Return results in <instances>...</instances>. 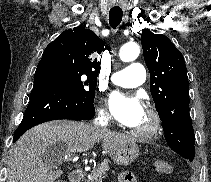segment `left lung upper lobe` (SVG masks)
Returning a JSON list of instances; mask_svg holds the SVG:
<instances>
[{
	"mask_svg": "<svg viewBox=\"0 0 211 182\" xmlns=\"http://www.w3.org/2000/svg\"><path fill=\"white\" fill-rule=\"evenodd\" d=\"M141 44L150 72V91L168 146L192 161L195 135L189 113L187 70L182 53L169 38L144 29Z\"/></svg>",
	"mask_w": 211,
	"mask_h": 182,
	"instance_id": "1",
	"label": "left lung upper lobe"
}]
</instances>
